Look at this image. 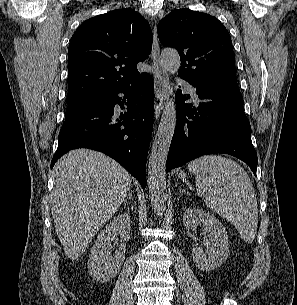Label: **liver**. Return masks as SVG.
<instances>
[{"label": "liver", "mask_w": 297, "mask_h": 305, "mask_svg": "<svg viewBox=\"0 0 297 305\" xmlns=\"http://www.w3.org/2000/svg\"><path fill=\"white\" fill-rule=\"evenodd\" d=\"M51 212L68 258L77 259L109 221L131 187L130 174L108 156L72 150L54 166Z\"/></svg>", "instance_id": "obj_1"}]
</instances>
